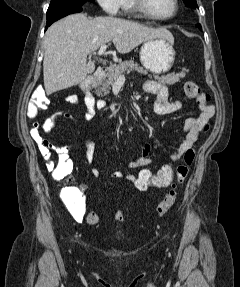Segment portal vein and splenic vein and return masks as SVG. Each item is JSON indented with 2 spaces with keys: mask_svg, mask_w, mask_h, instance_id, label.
Segmentation results:
<instances>
[{
  "mask_svg": "<svg viewBox=\"0 0 240 287\" xmlns=\"http://www.w3.org/2000/svg\"><path fill=\"white\" fill-rule=\"evenodd\" d=\"M106 49H107V45H106V44L102 45V46L100 47L99 51H98V55H103V54H105Z\"/></svg>",
  "mask_w": 240,
  "mask_h": 287,
  "instance_id": "1",
  "label": "portal vein and splenic vein"
}]
</instances>
